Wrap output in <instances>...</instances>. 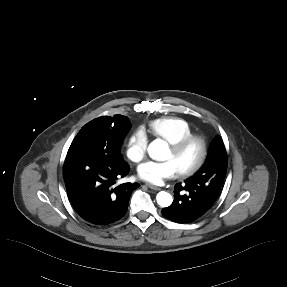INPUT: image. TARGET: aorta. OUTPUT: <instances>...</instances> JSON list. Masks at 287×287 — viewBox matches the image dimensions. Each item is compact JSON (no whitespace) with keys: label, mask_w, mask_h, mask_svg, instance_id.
<instances>
[{"label":"aorta","mask_w":287,"mask_h":287,"mask_svg":"<svg viewBox=\"0 0 287 287\" xmlns=\"http://www.w3.org/2000/svg\"><path fill=\"white\" fill-rule=\"evenodd\" d=\"M168 149V145L165 141L161 139H156L152 141L148 146V154L154 160H163L164 153ZM157 203L161 207H168L172 204L173 198L171 194L165 191H160L156 196Z\"/></svg>","instance_id":"obj_1"}]
</instances>
